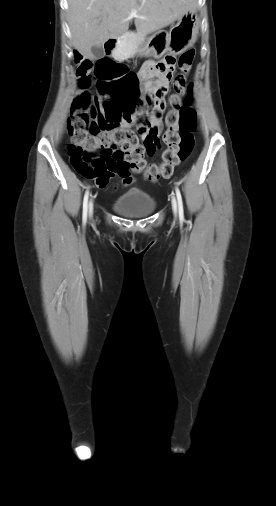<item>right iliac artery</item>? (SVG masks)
I'll return each mask as SVG.
<instances>
[{
  "mask_svg": "<svg viewBox=\"0 0 276 506\" xmlns=\"http://www.w3.org/2000/svg\"><path fill=\"white\" fill-rule=\"evenodd\" d=\"M88 198H89V188L86 190L84 199H83V223H86L87 221V212H88Z\"/></svg>",
  "mask_w": 276,
  "mask_h": 506,
  "instance_id": "1",
  "label": "right iliac artery"
}]
</instances>
